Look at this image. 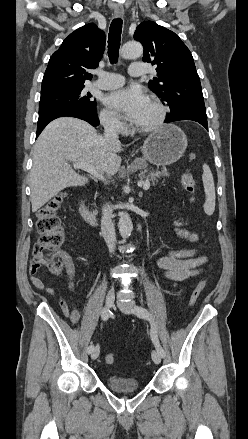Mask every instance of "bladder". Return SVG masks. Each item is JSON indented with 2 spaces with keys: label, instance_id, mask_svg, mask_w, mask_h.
Wrapping results in <instances>:
<instances>
[{
  "label": "bladder",
  "instance_id": "1",
  "mask_svg": "<svg viewBox=\"0 0 248 439\" xmlns=\"http://www.w3.org/2000/svg\"><path fill=\"white\" fill-rule=\"evenodd\" d=\"M106 384L115 392H134L140 389V384L135 378L115 374L106 377Z\"/></svg>",
  "mask_w": 248,
  "mask_h": 439
}]
</instances>
